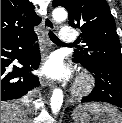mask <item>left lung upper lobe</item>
<instances>
[{
	"mask_svg": "<svg viewBox=\"0 0 122 123\" xmlns=\"http://www.w3.org/2000/svg\"><path fill=\"white\" fill-rule=\"evenodd\" d=\"M58 6L67 9L69 25L82 32L79 40L86 48L74 52V62L87 68L122 66L120 41L106 0H53V7Z\"/></svg>",
	"mask_w": 122,
	"mask_h": 123,
	"instance_id": "5c2ea615",
	"label": "left lung upper lobe"
}]
</instances>
